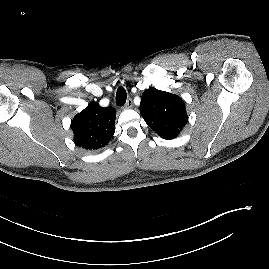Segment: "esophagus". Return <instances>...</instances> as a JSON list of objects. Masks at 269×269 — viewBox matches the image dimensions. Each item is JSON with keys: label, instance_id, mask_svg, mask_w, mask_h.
Instances as JSON below:
<instances>
[{"label": "esophagus", "instance_id": "esophagus-1", "mask_svg": "<svg viewBox=\"0 0 269 269\" xmlns=\"http://www.w3.org/2000/svg\"><path fill=\"white\" fill-rule=\"evenodd\" d=\"M132 106H133L132 99L129 98V99L127 100L126 104L124 105V108H125V109H129V108H131Z\"/></svg>", "mask_w": 269, "mask_h": 269}]
</instances>
